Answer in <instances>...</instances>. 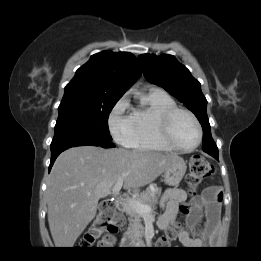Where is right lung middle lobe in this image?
<instances>
[{
    "instance_id": "obj_1",
    "label": "right lung middle lobe",
    "mask_w": 261,
    "mask_h": 261,
    "mask_svg": "<svg viewBox=\"0 0 261 261\" xmlns=\"http://www.w3.org/2000/svg\"><path fill=\"white\" fill-rule=\"evenodd\" d=\"M121 96H64L58 108L54 140L77 135H94L111 140L108 116Z\"/></svg>"
}]
</instances>
